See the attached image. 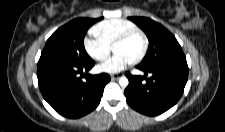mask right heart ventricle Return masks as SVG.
Wrapping results in <instances>:
<instances>
[{
    "label": "right heart ventricle",
    "instance_id": "e07e8e85",
    "mask_svg": "<svg viewBox=\"0 0 225 132\" xmlns=\"http://www.w3.org/2000/svg\"><path fill=\"white\" fill-rule=\"evenodd\" d=\"M137 28L136 24L122 18L102 21L94 27L98 39L109 47H113L116 39L128 30Z\"/></svg>",
    "mask_w": 225,
    "mask_h": 132
}]
</instances>
